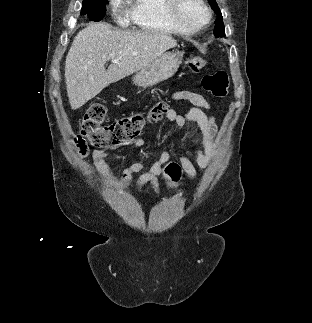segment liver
Listing matches in <instances>:
<instances>
[{"label": "liver", "mask_w": 312, "mask_h": 323, "mask_svg": "<svg viewBox=\"0 0 312 323\" xmlns=\"http://www.w3.org/2000/svg\"><path fill=\"white\" fill-rule=\"evenodd\" d=\"M175 46L170 34L118 30L105 22H91L75 36L66 56L64 76L71 110L84 106L109 84L143 70ZM112 58L118 64L112 62L105 70Z\"/></svg>", "instance_id": "1"}]
</instances>
